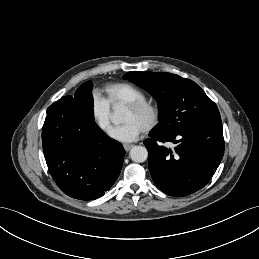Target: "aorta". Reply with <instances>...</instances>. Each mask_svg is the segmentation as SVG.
Returning a JSON list of instances; mask_svg holds the SVG:
<instances>
[{
  "label": "aorta",
  "mask_w": 259,
  "mask_h": 259,
  "mask_svg": "<svg viewBox=\"0 0 259 259\" xmlns=\"http://www.w3.org/2000/svg\"><path fill=\"white\" fill-rule=\"evenodd\" d=\"M113 110H114V113L112 116V121L114 123H117L119 120L120 109L118 106L114 105ZM130 157H131L132 161L142 163V162L146 161V159L148 157V151L143 146H134L130 150Z\"/></svg>",
  "instance_id": "aorta-1"
}]
</instances>
